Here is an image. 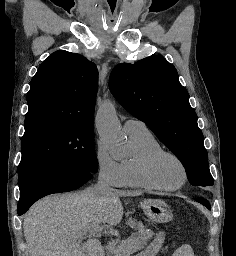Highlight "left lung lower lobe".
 Returning <instances> with one entry per match:
<instances>
[{
  "label": "left lung lower lobe",
  "mask_w": 236,
  "mask_h": 256,
  "mask_svg": "<svg viewBox=\"0 0 236 256\" xmlns=\"http://www.w3.org/2000/svg\"><path fill=\"white\" fill-rule=\"evenodd\" d=\"M196 201H198L199 203L205 205L207 208L210 209V204H209V202L207 200L202 199V198H197Z\"/></svg>",
  "instance_id": "0a47b994"
}]
</instances>
